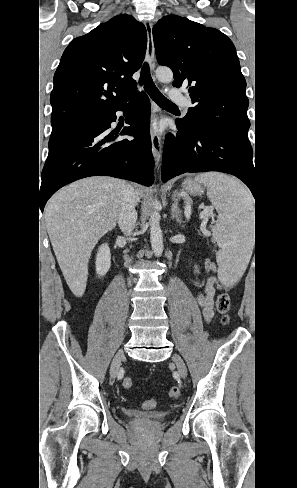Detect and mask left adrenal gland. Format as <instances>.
<instances>
[{"instance_id": "left-adrenal-gland-1", "label": "left adrenal gland", "mask_w": 297, "mask_h": 488, "mask_svg": "<svg viewBox=\"0 0 297 488\" xmlns=\"http://www.w3.org/2000/svg\"><path fill=\"white\" fill-rule=\"evenodd\" d=\"M178 200H179V192L178 191H175L173 196H172V206H171V218L174 219L176 218L177 221H180V214H181V211L180 209L178 208Z\"/></svg>"}]
</instances>
